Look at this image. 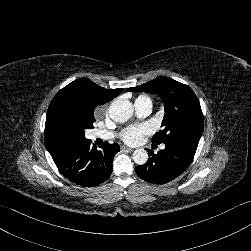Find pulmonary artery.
I'll list each match as a JSON object with an SVG mask.
<instances>
[{"instance_id":"obj_1","label":"pulmonary artery","mask_w":251,"mask_h":251,"mask_svg":"<svg viewBox=\"0 0 251 251\" xmlns=\"http://www.w3.org/2000/svg\"><path fill=\"white\" fill-rule=\"evenodd\" d=\"M134 107H135V111L137 115L144 117L151 113L152 108H153V103L150 98L145 97V98L137 99L134 103ZM163 148L164 146H162V149Z\"/></svg>"}]
</instances>
